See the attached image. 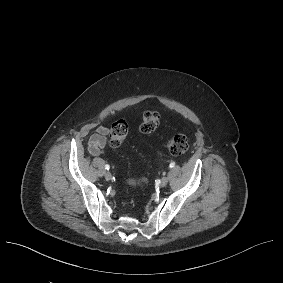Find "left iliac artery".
<instances>
[{"label": "left iliac artery", "instance_id": "1", "mask_svg": "<svg viewBox=\"0 0 283 283\" xmlns=\"http://www.w3.org/2000/svg\"><path fill=\"white\" fill-rule=\"evenodd\" d=\"M175 166V162L170 163L169 168H173Z\"/></svg>", "mask_w": 283, "mask_h": 283}]
</instances>
